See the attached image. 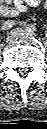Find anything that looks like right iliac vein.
Returning a JSON list of instances; mask_svg holds the SVG:
<instances>
[{
	"instance_id": "63e3f726",
	"label": "right iliac vein",
	"mask_w": 47,
	"mask_h": 129,
	"mask_svg": "<svg viewBox=\"0 0 47 129\" xmlns=\"http://www.w3.org/2000/svg\"><path fill=\"white\" fill-rule=\"evenodd\" d=\"M22 33H23V30L21 29L12 30L6 38V42L9 44L14 43L15 41H17L18 38L22 36Z\"/></svg>"
}]
</instances>
